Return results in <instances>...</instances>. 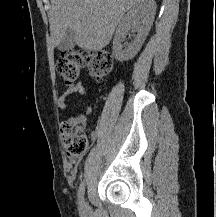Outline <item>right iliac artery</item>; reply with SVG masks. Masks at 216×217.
<instances>
[{
    "mask_svg": "<svg viewBox=\"0 0 216 217\" xmlns=\"http://www.w3.org/2000/svg\"><path fill=\"white\" fill-rule=\"evenodd\" d=\"M84 192H85V186H84V182L82 181L78 190V203H79L80 210L83 209V205H84Z\"/></svg>",
    "mask_w": 216,
    "mask_h": 217,
    "instance_id": "1",
    "label": "right iliac artery"
}]
</instances>
